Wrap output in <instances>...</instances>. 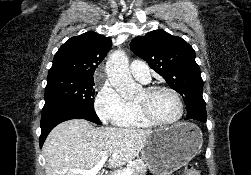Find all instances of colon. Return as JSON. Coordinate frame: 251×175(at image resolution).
Returning <instances> with one entry per match:
<instances>
[{
  "label": "colon",
  "mask_w": 251,
  "mask_h": 175,
  "mask_svg": "<svg viewBox=\"0 0 251 175\" xmlns=\"http://www.w3.org/2000/svg\"><path fill=\"white\" fill-rule=\"evenodd\" d=\"M183 175H203L202 172L193 165H185L183 168Z\"/></svg>",
  "instance_id": "colon-1"
}]
</instances>
